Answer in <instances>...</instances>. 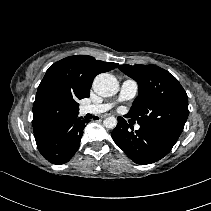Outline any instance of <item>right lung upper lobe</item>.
<instances>
[{"instance_id": "cb5924a9", "label": "right lung upper lobe", "mask_w": 211, "mask_h": 211, "mask_svg": "<svg viewBox=\"0 0 211 211\" xmlns=\"http://www.w3.org/2000/svg\"><path fill=\"white\" fill-rule=\"evenodd\" d=\"M117 66L86 55L70 56L51 65L33 104L34 134L77 115L78 100L89 97L95 76Z\"/></svg>"}]
</instances>
